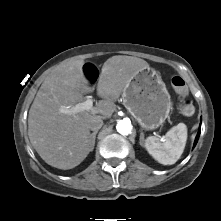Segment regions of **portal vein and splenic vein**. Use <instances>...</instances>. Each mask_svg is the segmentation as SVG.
Returning a JSON list of instances; mask_svg holds the SVG:
<instances>
[{
    "label": "portal vein and splenic vein",
    "instance_id": "portal-vein-and-splenic-vein-1",
    "mask_svg": "<svg viewBox=\"0 0 221 221\" xmlns=\"http://www.w3.org/2000/svg\"><path fill=\"white\" fill-rule=\"evenodd\" d=\"M94 111L93 108V100L88 98L84 102L78 103L72 107H67L63 112L68 113V114H75L80 111Z\"/></svg>",
    "mask_w": 221,
    "mask_h": 221
}]
</instances>
